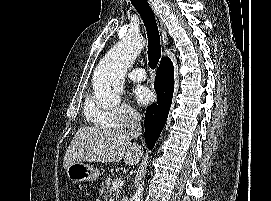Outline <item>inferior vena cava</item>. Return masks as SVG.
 <instances>
[{
  "label": "inferior vena cava",
  "instance_id": "obj_1",
  "mask_svg": "<svg viewBox=\"0 0 271 201\" xmlns=\"http://www.w3.org/2000/svg\"><path fill=\"white\" fill-rule=\"evenodd\" d=\"M130 118L131 120H130L129 135L132 138H136L140 136L142 132L141 116L137 112H132Z\"/></svg>",
  "mask_w": 271,
  "mask_h": 201
}]
</instances>
